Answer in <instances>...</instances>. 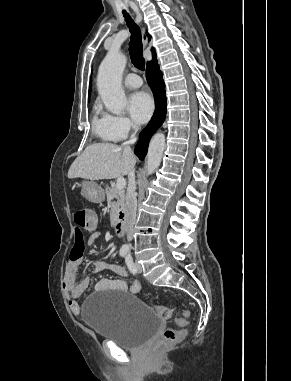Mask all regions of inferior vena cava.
I'll list each match as a JSON object with an SVG mask.
<instances>
[{"instance_id":"obj_1","label":"inferior vena cava","mask_w":291,"mask_h":381,"mask_svg":"<svg viewBox=\"0 0 291 381\" xmlns=\"http://www.w3.org/2000/svg\"><path fill=\"white\" fill-rule=\"evenodd\" d=\"M137 131V129H136ZM136 142L135 133L131 136V139L124 142L123 146L126 149L131 150L130 145ZM136 182L135 173L132 169L128 174V188L126 194V215H127V240L131 241L133 238V227L136 220L137 199H136Z\"/></svg>"}]
</instances>
